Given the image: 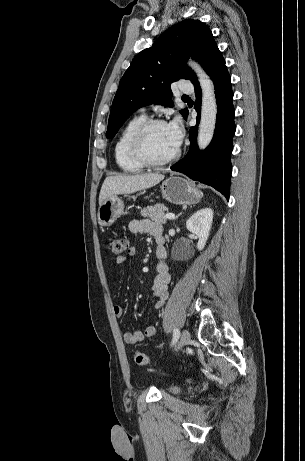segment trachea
<instances>
[{"mask_svg":"<svg viewBox=\"0 0 305 461\" xmlns=\"http://www.w3.org/2000/svg\"><path fill=\"white\" fill-rule=\"evenodd\" d=\"M186 98H188L187 95H183V96H182V99H186Z\"/></svg>","mask_w":305,"mask_h":461,"instance_id":"1","label":"trachea"}]
</instances>
